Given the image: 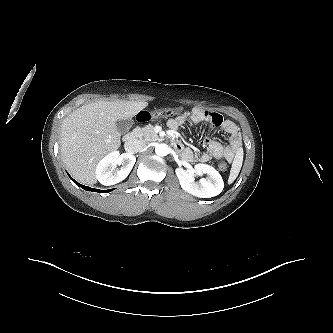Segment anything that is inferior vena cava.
Listing matches in <instances>:
<instances>
[{"mask_svg":"<svg viewBox=\"0 0 333 333\" xmlns=\"http://www.w3.org/2000/svg\"><path fill=\"white\" fill-rule=\"evenodd\" d=\"M146 146L145 141L143 140H134V141H129L125 144V150L129 154H134L139 151H142Z\"/></svg>","mask_w":333,"mask_h":333,"instance_id":"obj_1","label":"inferior vena cava"}]
</instances>
